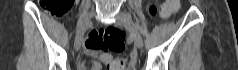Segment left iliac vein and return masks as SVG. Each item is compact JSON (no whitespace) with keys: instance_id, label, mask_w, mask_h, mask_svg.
I'll list each match as a JSON object with an SVG mask.
<instances>
[{"instance_id":"4c4485c4","label":"left iliac vein","mask_w":238,"mask_h":70,"mask_svg":"<svg viewBox=\"0 0 238 70\" xmlns=\"http://www.w3.org/2000/svg\"><path fill=\"white\" fill-rule=\"evenodd\" d=\"M116 19H117L116 23L119 26H122L129 31L130 37L134 41L136 47L142 48L143 40H142V37H141L136 25L134 24V22L132 20L131 15L129 13L119 12L116 16Z\"/></svg>"}]
</instances>
